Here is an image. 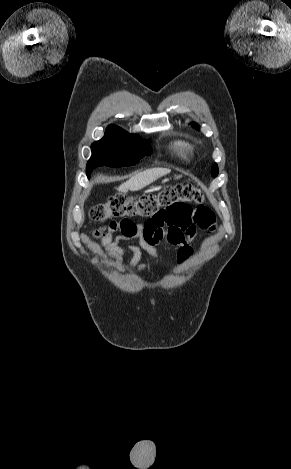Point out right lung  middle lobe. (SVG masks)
Returning a JSON list of instances; mask_svg holds the SVG:
<instances>
[{"mask_svg":"<svg viewBox=\"0 0 291 469\" xmlns=\"http://www.w3.org/2000/svg\"><path fill=\"white\" fill-rule=\"evenodd\" d=\"M92 156L87 163V177L98 166L123 167L134 165L151 154L150 141L130 134L116 125H109L104 137L91 146Z\"/></svg>","mask_w":291,"mask_h":469,"instance_id":"1","label":"right lung middle lobe"}]
</instances>
